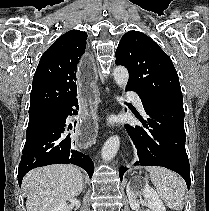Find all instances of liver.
I'll use <instances>...</instances> for the list:
<instances>
[{
  "instance_id": "1",
  "label": "liver",
  "mask_w": 209,
  "mask_h": 211,
  "mask_svg": "<svg viewBox=\"0 0 209 211\" xmlns=\"http://www.w3.org/2000/svg\"><path fill=\"white\" fill-rule=\"evenodd\" d=\"M22 188L28 192L27 211H51L82 192L83 175L72 165L45 166L28 172L23 178Z\"/></svg>"
}]
</instances>
